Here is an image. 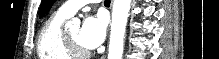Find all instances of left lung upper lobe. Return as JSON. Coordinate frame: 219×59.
Segmentation results:
<instances>
[{"mask_svg": "<svg viewBox=\"0 0 219 59\" xmlns=\"http://www.w3.org/2000/svg\"><path fill=\"white\" fill-rule=\"evenodd\" d=\"M56 0H42L40 10H39V16L42 17L45 15V13L51 8L53 3Z\"/></svg>", "mask_w": 219, "mask_h": 59, "instance_id": "1", "label": "left lung upper lobe"}]
</instances>
